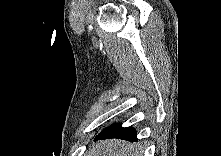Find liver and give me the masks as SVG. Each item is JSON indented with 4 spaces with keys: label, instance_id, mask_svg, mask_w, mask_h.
<instances>
[{
    "label": "liver",
    "instance_id": "liver-1",
    "mask_svg": "<svg viewBox=\"0 0 221 156\" xmlns=\"http://www.w3.org/2000/svg\"><path fill=\"white\" fill-rule=\"evenodd\" d=\"M136 144L120 139L101 140L87 152V156H141Z\"/></svg>",
    "mask_w": 221,
    "mask_h": 156
}]
</instances>
